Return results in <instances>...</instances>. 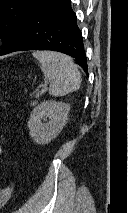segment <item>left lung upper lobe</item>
I'll return each mask as SVG.
<instances>
[{
  "label": "left lung upper lobe",
  "mask_w": 128,
  "mask_h": 213,
  "mask_svg": "<svg viewBox=\"0 0 128 213\" xmlns=\"http://www.w3.org/2000/svg\"><path fill=\"white\" fill-rule=\"evenodd\" d=\"M38 0H0V36L2 49L8 48Z\"/></svg>",
  "instance_id": "obj_1"
}]
</instances>
